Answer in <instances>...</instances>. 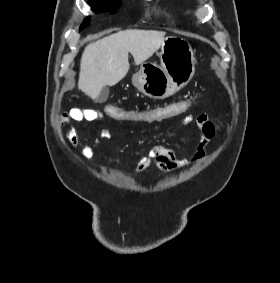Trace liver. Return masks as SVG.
Instances as JSON below:
<instances>
[{
	"mask_svg": "<svg viewBox=\"0 0 280 283\" xmlns=\"http://www.w3.org/2000/svg\"><path fill=\"white\" fill-rule=\"evenodd\" d=\"M165 32L124 30L90 43L80 62L78 88L96 99L105 86H114L129 70L128 53L135 64L149 59L160 47Z\"/></svg>",
	"mask_w": 280,
	"mask_h": 283,
	"instance_id": "liver-1",
	"label": "liver"
}]
</instances>
